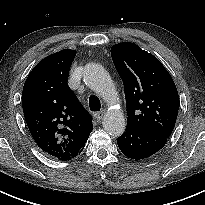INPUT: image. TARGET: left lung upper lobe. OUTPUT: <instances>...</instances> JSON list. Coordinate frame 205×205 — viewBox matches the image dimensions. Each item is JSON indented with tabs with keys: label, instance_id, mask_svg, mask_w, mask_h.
I'll list each match as a JSON object with an SVG mask.
<instances>
[{
	"label": "left lung upper lobe",
	"instance_id": "1",
	"mask_svg": "<svg viewBox=\"0 0 205 205\" xmlns=\"http://www.w3.org/2000/svg\"><path fill=\"white\" fill-rule=\"evenodd\" d=\"M111 56L124 83L127 126L169 138L179 109L178 92L169 72L134 43L114 45Z\"/></svg>",
	"mask_w": 205,
	"mask_h": 205
}]
</instances>
